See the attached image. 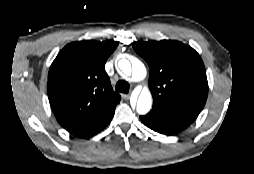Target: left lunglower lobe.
Returning <instances> with one entry per match:
<instances>
[{
  "mask_svg": "<svg viewBox=\"0 0 254 174\" xmlns=\"http://www.w3.org/2000/svg\"><path fill=\"white\" fill-rule=\"evenodd\" d=\"M197 117L153 104L152 110L140 116L142 123L152 130L165 135H175L186 129Z\"/></svg>",
  "mask_w": 254,
  "mask_h": 174,
  "instance_id": "left-lung-lower-lobe-1",
  "label": "left lung lower lobe"
}]
</instances>
